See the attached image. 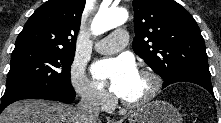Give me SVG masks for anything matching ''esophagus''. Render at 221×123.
<instances>
[{
	"instance_id": "esophagus-1",
	"label": "esophagus",
	"mask_w": 221,
	"mask_h": 123,
	"mask_svg": "<svg viewBox=\"0 0 221 123\" xmlns=\"http://www.w3.org/2000/svg\"><path fill=\"white\" fill-rule=\"evenodd\" d=\"M110 123H118V121L112 119V120L110 121Z\"/></svg>"
}]
</instances>
